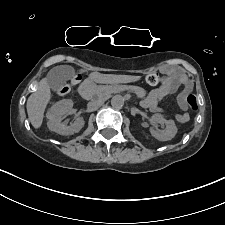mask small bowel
Here are the masks:
<instances>
[{
    "label": "small bowel",
    "mask_w": 225,
    "mask_h": 225,
    "mask_svg": "<svg viewBox=\"0 0 225 225\" xmlns=\"http://www.w3.org/2000/svg\"><path fill=\"white\" fill-rule=\"evenodd\" d=\"M165 72L172 77L171 80L151 91L143 104L153 112H160V102L162 98L166 95L175 93L181 86V90L178 94V103L183 112L178 114L176 118L178 122L185 123L189 120V115L186 112L187 98L193 89V83L183 71L177 68L169 67Z\"/></svg>",
    "instance_id": "obj_1"
}]
</instances>
